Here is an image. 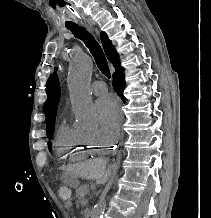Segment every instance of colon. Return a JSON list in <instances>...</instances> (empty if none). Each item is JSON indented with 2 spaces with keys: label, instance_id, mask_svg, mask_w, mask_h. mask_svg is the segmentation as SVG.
I'll return each instance as SVG.
<instances>
[{
  "label": "colon",
  "instance_id": "1",
  "mask_svg": "<svg viewBox=\"0 0 211 218\" xmlns=\"http://www.w3.org/2000/svg\"><path fill=\"white\" fill-rule=\"evenodd\" d=\"M58 196L62 201H70L71 200V189L67 185H60L58 188Z\"/></svg>",
  "mask_w": 211,
  "mask_h": 218
}]
</instances>
